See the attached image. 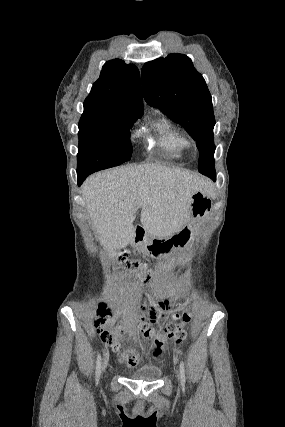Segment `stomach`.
<instances>
[{
	"label": "stomach",
	"mask_w": 285,
	"mask_h": 427,
	"mask_svg": "<svg viewBox=\"0 0 285 427\" xmlns=\"http://www.w3.org/2000/svg\"><path fill=\"white\" fill-rule=\"evenodd\" d=\"M212 208V198L205 192L197 191L191 196L190 221L187 224L168 237L149 235L136 246L143 252L155 257L163 256L180 248L190 242L198 221L209 216Z\"/></svg>",
	"instance_id": "1"
}]
</instances>
